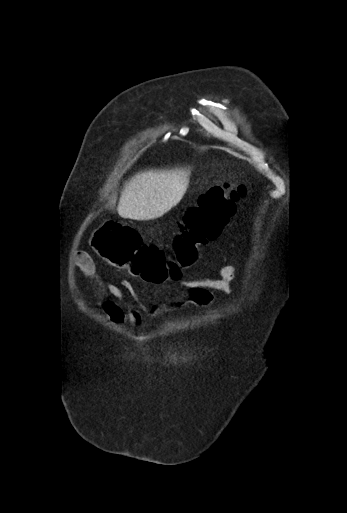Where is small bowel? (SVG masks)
I'll return each mask as SVG.
<instances>
[{
    "label": "small bowel",
    "instance_id": "obj_1",
    "mask_svg": "<svg viewBox=\"0 0 347 513\" xmlns=\"http://www.w3.org/2000/svg\"><path fill=\"white\" fill-rule=\"evenodd\" d=\"M74 264L83 275L97 281L96 267L92 259L85 253H79L74 258ZM237 274L238 269L235 266L222 265L217 268L216 277H198L190 280H184L181 277L174 279L179 280L183 288V296L175 300L174 304L193 305L201 308L212 307L215 302V291L227 295H232L238 291L234 286ZM121 284L133 298H136L134 287L130 281L123 280ZM124 299L125 295L119 287L109 284L101 285L100 302L103 316L116 324H123L128 321L132 326L140 327L145 317H157L165 311L164 307L158 305L142 311L130 306L124 308L116 302V300L123 301Z\"/></svg>",
    "mask_w": 347,
    "mask_h": 513
}]
</instances>
